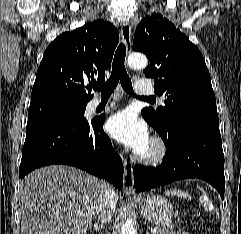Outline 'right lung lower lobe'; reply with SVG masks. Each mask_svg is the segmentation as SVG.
Returning a JSON list of instances; mask_svg holds the SVG:
<instances>
[{
	"mask_svg": "<svg viewBox=\"0 0 241 234\" xmlns=\"http://www.w3.org/2000/svg\"><path fill=\"white\" fill-rule=\"evenodd\" d=\"M104 117L28 122L19 177L39 167L65 164L104 178L120 190L123 164L103 131Z\"/></svg>",
	"mask_w": 241,
	"mask_h": 234,
	"instance_id": "right-lung-lower-lobe-1",
	"label": "right lung lower lobe"
}]
</instances>
